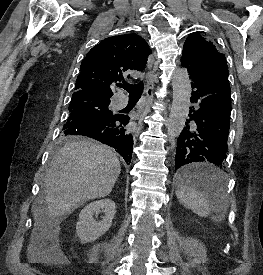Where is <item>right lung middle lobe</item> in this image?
I'll return each instance as SVG.
<instances>
[{
	"label": "right lung middle lobe",
	"mask_w": 263,
	"mask_h": 275,
	"mask_svg": "<svg viewBox=\"0 0 263 275\" xmlns=\"http://www.w3.org/2000/svg\"><path fill=\"white\" fill-rule=\"evenodd\" d=\"M110 98L100 97L94 94H81L73 96L69 105V117L63 130L72 125L88 119H99L112 116L109 110ZM61 132L58 143L72 141V136Z\"/></svg>",
	"instance_id": "1"
}]
</instances>
